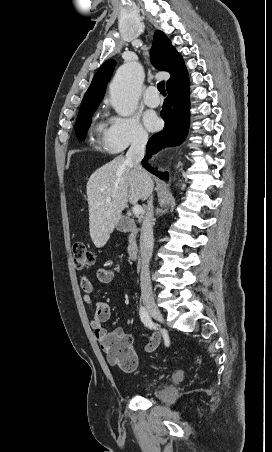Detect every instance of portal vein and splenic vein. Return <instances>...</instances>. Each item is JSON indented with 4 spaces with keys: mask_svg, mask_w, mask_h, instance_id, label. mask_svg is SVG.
Returning <instances> with one entry per match:
<instances>
[{
    "mask_svg": "<svg viewBox=\"0 0 272 452\" xmlns=\"http://www.w3.org/2000/svg\"><path fill=\"white\" fill-rule=\"evenodd\" d=\"M106 200L110 201L111 198L108 197ZM132 211H133L134 215H140L143 212V209H142V207L140 205H134L133 208H132Z\"/></svg>",
    "mask_w": 272,
    "mask_h": 452,
    "instance_id": "portal-vein-and-splenic-vein-1",
    "label": "portal vein and splenic vein"
}]
</instances>
